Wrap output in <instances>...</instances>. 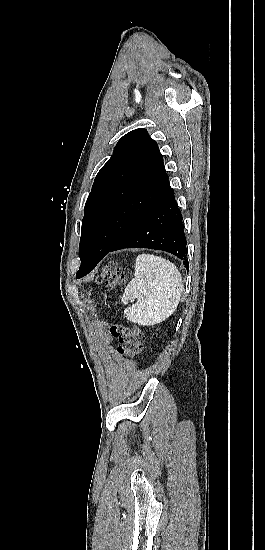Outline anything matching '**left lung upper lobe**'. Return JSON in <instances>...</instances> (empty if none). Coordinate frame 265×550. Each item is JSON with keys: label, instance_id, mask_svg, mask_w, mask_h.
<instances>
[{"label": "left lung upper lobe", "instance_id": "1", "mask_svg": "<svg viewBox=\"0 0 265 550\" xmlns=\"http://www.w3.org/2000/svg\"><path fill=\"white\" fill-rule=\"evenodd\" d=\"M170 189L163 157L146 129L124 135L98 172L87 198L79 244L81 262L105 252Z\"/></svg>", "mask_w": 265, "mask_h": 550}]
</instances>
